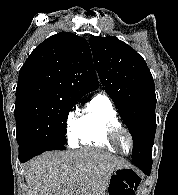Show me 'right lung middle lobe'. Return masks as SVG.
<instances>
[{
  "instance_id": "right-lung-middle-lobe-1",
  "label": "right lung middle lobe",
  "mask_w": 178,
  "mask_h": 195,
  "mask_svg": "<svg viewBox=\"0 0 178 195\" xmlns=\"http://www.w3.org/2000/svg\"><path fill=\"white\" fill-rule=\"evenodd\" d=\"M78 100L47 95L16 97V139L19 147L66 144V121Z\"/></svg>"
}]
</instances>
